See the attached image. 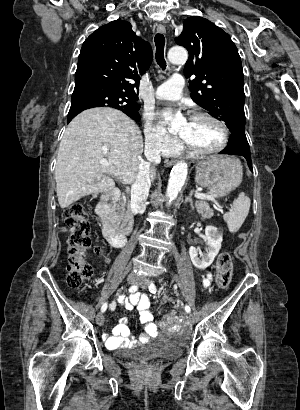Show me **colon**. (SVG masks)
<instances>
[{"label": "colon", "mask_w": 300, "mask_h": 410, "mask_svg": "<svg viewBox=\"0 0 300 410\" xmlns=\"http://www.w3.org/2000/svg\"><path fill=\"white\" fill-rule=\"evenodd\" d=\"M64 222L69 231L67 283L71 287L81 286L92 275V268L86 262V254L92 240L87 214L82 203L71 204L64 213ZM99 250V248H97ZM216 285L219 289H227L233 275V258L228 251H222L217 258ZM178 317L170 312L164 319L166 327L176 325Z\"/></svg>", "instance_id": "obj_1"}]
</instances>
